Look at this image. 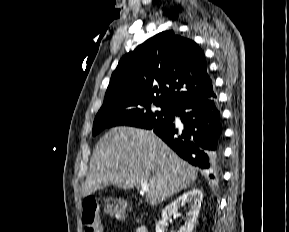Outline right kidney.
Here are the masks:
<instances>
[{
    "mask_svg": "<svg viewBox=\"0 0 289 232\" xmlns=\"http://www.w3.org/2000/svg\"><path fill=\"white\" fill-rule=\"evenodd\" d=\"M202 200L203 193L200 189L193 188L183 193L163 209L162 219L156 224V232H165L171 215L177 213L178 208L185 206V204H189V212L187 213L185 225L178 232H192L199 215Z\"/></svg>",
    "mask_w": 289,
    "mask_h": 232,
    "instance_id": "ca27d5eb",
    "label": "right kidney"
}]
</instances>
